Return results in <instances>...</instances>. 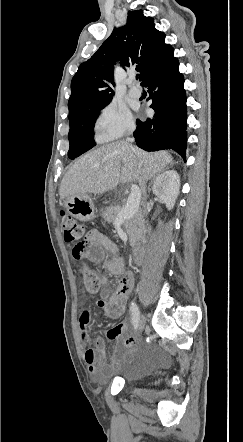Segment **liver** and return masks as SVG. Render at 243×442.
<instances>
[{
  "instance_id": "liver-1",
  "label": "liver",
  "mask_w": 243,
  "mask_h": 442,
  "mask_svg": "<svg viewBox=\"0 0 243 442\" xmlns=\"http://www.w3.org/2000/svg\"><path fill=\"white\" fill-rule=\"evenodd\" d=\"M172 160L167 151L148 153L125 141L103 145L72 164L61 182L60 198L103 194L119 183L137 180L139 174L147 181L161 173Z\"/></svg>"
}]
</instances>
